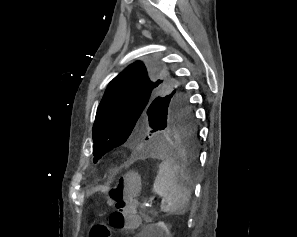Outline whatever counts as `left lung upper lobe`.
Segmentation results:
<instances>
[{
  "label": "left lung upper lobe",
  "instance_id": "1",
  "mask_svg": "<svg viewBox=\"0 0 297 237\" xmlns=\"http://www.w3.org/2000/svg\"><path fill=\"white\" fill-rule=\"evenodd\" d=\"M178 103L190 104L170 71L140 61L128 66L109 83L98 106L92 130L94 163L117 147L128 156L141 155Z\"/></svg>",
  "mask_w": 297,
  "mask_h": 237
}]
</instances>
